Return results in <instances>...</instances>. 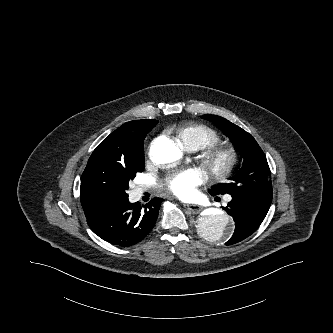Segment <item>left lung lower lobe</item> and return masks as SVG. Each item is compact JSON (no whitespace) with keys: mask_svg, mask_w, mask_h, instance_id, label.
<instances>
[{"mask_svg":"<svg viewBox=\"0 0 333 333\" xmlns=\"http://www.w3.org/2000/svg\"><path fill=\"white\" fill-rule=\"evenodd\" d=\"M271 203L232 197L227 207L223 208L235 222V230L226 245L238 243L254 233L264 220Z\"/></svg>","mask_w":333,"mask_h":333,"instance_id":"0a47b994","label":"left lung lower lobe"}]
</instances>
